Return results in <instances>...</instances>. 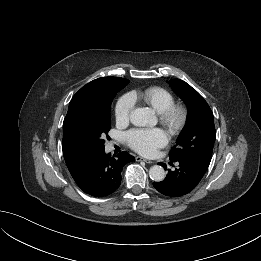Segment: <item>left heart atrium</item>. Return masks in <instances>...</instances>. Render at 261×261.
I'll return each instance as SVG.
<instances>
[{"label":"left heart atrium","instance_id":"obj_1","mask_svg":"<svg viewBox=\"0 0 261 261\" xmlns=\"http://www.w3.org/2000/svg\"><path fill=\"white\" fill-rule=\"evenodd\" d=\"M129 146L143 155H152L167 142L166 133L159 128H138L126 135Z\"/></svg>","mask_w":261,"mask_h":261}]
</instances>
